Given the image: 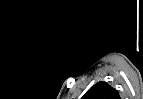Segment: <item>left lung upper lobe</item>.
<instances>
[{
  "label": "left lung upper lobe",
  "instance_id": "5c2ea615",
  "mask_svg": "<svg viewBox=\"0 0 143 99\" xmlns=\"http://www.w3.org/2000/svg\"><path fill=\"white\" fill-rule=\"evenodd\" d=\"M82 99H120V96L116 89L108 83L100 81L92 86Z\"/></svg>",
  "mask_w": 143,
  "mask_h": 99
}]
</instances>
